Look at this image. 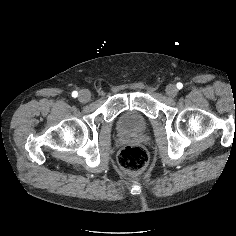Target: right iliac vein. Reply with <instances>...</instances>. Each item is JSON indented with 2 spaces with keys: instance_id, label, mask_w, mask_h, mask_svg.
<instances>
[{
  "instance_id": "right-iliac-vein-1",
  "label": "right iliac vein",
  "mask_w": 236,
  "mask_h": 236,
  "mask_svg": "<svg viewBox=\"0 0 236 236\" xmlns=\"http://www.w3.org/2000/svg\"><path fill=\"white\" fill-rule=\"evenodd\" d=\"M90 99H91V94L88 90L84 89L79 92L78 100L81 103H86L90 101Z\"/></svg>"
}]
</instances>
